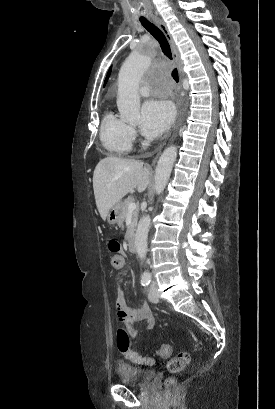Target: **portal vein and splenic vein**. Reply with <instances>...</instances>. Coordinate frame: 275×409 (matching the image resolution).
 I'll list each match as a JSON object with an SVG mask.
<instances>
[{
	"label": "portal vein and splenic vein",
	"mask_w": 275,
	"mask_h": 409,
	"mask_svg": "<svg viewBox=\"0 0 275 409\" xmlns=\"http://www.w3.org/2000/svg\"><path fill=\"white\" fill-rule=\"evenodd\" d=\"M136 205L135 202H130V205L128 207V213H132V211H135Z\"/></svg>",
	"instance_id": "portal-vein-and-splenic-vein-1"
}]
</instances>
